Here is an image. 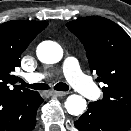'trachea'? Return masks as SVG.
Segmentation results:
<instances>
[{"mask_svg":"<svg viewBox=\"0 0 131 131\" xmlns=\"http://www.w3.org/2000/svg\"><path fill=\"white\" fill-rule=\"evenodd\" d=\"M20 83L22 84V86L28 87V88H31L34 90H48V89H50V87L45 83L29 84V83L24 82L23 80H20ZM54 89L58 90V91H68L69 86L65 83L60 82L54 86Z\"/></svg>","mask_w":131,"mask_h":131,"instance_id":"trachea-1","label":"trachea"}]
</instances>
